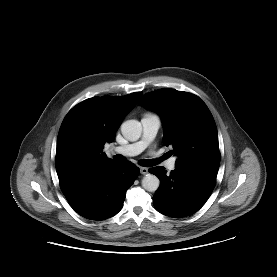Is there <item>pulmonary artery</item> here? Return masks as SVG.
I'll return each instance as SVG.
<instances>
[{
  "instance_id": "obj_1",
  "label": "pulmonary artery",
  "mask_w": 277,
  "mask_h": 277,
  "mask_svg": "<svg viewBox=\"0 0 277 277\" xmlns=\"http://www.w3.org/2000/svg\"><path fill=\"white\" fill-rule=\"evenodd\" d=\"M141 124L143 131L140 140L125 146L115 147L113 151L126 156H135L145 150L154 140L160 128L161 120L155 114H145L141 119ZM165 166L169 171H173L176 167V159L170 158L166 161Z\"/></svg>"
}]
</instances>
